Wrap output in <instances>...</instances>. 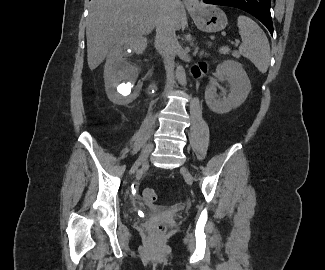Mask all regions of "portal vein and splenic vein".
<instances>
[{
	"instance_id": "1",
	"label": "portal vein and splenic vein",
	"mask_w": 325,
	"mask_h": 270,
	"mask_svg": "<svg viewBox=\"0 0 325 270\" xmlns=\"http://www.w3.org/2000/svg\"><path fill=\"white\" fill-rule=\"evenodd\" d=\"M239 42H240L239 40H236V41H235V44H236V45H238V44H239Z\"/></svg>"
}]
</instances>
